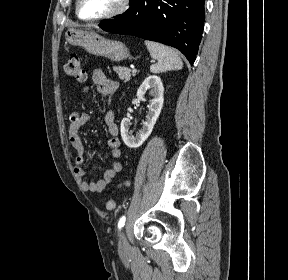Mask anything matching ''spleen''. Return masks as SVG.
Wrapping results in <instances>:
<instances>
[{"mask_svg":"<svg viewBox=\"0 0 288 280\" xmlns=\"http://www.w3.org/2000/svg\"><path fill=\"white\" fill-rule=\"evenodd\" d=\"M145 45L152 58L157 60V63L150 66V72L162 73L169 70H179L183 63L176 51L163 44L145 41Z\"/></svg>","mask_w":288,"mask_h":280,"instance_id":"obj_1","label":"spleen"}]
</instances>
